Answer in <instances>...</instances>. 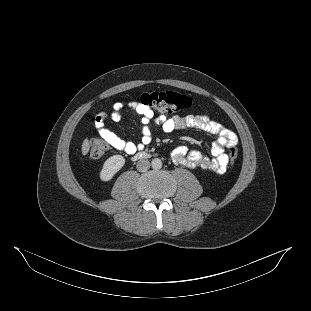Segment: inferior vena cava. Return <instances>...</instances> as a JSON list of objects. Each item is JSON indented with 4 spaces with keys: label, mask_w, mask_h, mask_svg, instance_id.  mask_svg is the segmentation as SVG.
Masks as SVG:
<instances>
[{
    "label": "inferior vena cava",
    "mask_w": 311,
    "mask_h": 311,
    "mask_svg": "<svg viewBox=\"0 0 311 311\" xmlns=\"http://www.w3.org/2000/svg\"><path fill=\"white\" fill-rule=\"evenodd\" d=\"M151 164L149 162V160L147 159H140L138 162H137V170L139 172H146L149 168H150Z\"/></svg>",
    "instance_id": "1"
}]
</instances>
